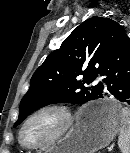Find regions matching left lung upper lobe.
<instances>
[{
  "instance_id": "1",
  "label": "left lung upper lobe",
  "mask_w": 130,
  "mask_h": 153,
  "mask_svg": "<svg viewBox=\"0 0 130 153\" xmlns=\"http://www.w3.org/2000/svg\"><path fill=\"white\" fill-rule=\"evenodd\" d=\"M122 32L116 21L97 16L76 27L60 49L51 52L33 74L30 88L21 100L14 127L48 104H82L99 98V83L91 87L87 85L100 74ZM80 75L83 79H79Z\"/></svg>"
}]
</instances>
